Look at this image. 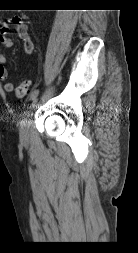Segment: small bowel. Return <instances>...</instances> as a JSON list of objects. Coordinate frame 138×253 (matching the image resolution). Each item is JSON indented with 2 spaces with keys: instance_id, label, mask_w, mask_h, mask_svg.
Masks as SVG:
<instances>
[{
  "instance_id": "c3829d8e",
  "label": "small bowel",
  "mask_w": 138,
  "mask_h": 253,
  "mask_svg": "<svg viewBox=\"0 0 138 253\" xmlns=\"http://www.w3.org/2000/svg\"><path fill=\"white\" fill-rule=\"evenodd\" d=\"M14 26L19 38L22 41L23 50L26 55H32L34 53V42L30 36L27 23L19 18L14 17L7 20L6 23L0 26V45L4 48H11L13 46V40L9 33V27ZM6 57L0 51V80L5 81L4 90L6 92H12L14 90V84L8 79V70L6 67Z\"/></svg>"
}]
</instances>
